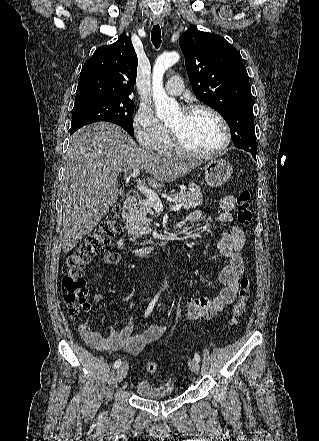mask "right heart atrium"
Instances as JSON below:
<instances>
[{
    "instance_id": "obj_1",
    "label": "right heart atrium",
    "mask_w": 319,
    "mask_h": 441,
    "mask_svg": "<svg viewBox=\"0 0 319 441\" xmlns=\"http://www.w3.org/2000/svg\"><path fill=\"white\" fill-rule=\"evenodd\" d=\"M133 131L139 145L149 151L162 150L168 139L167 128L147 105H141L135 113Z\"/></svg>"
}]
</instances>
